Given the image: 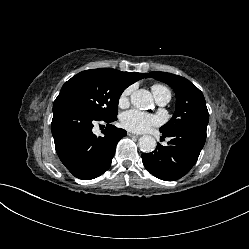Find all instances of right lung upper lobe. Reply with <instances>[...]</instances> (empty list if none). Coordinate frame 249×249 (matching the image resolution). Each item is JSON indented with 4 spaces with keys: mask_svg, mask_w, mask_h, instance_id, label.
I'll return each mask as SVG.
<instances>
[{
    "mask_svg": "<svg viewBox=\"0 0 249 249\" xmlns=\"http://www.w3.org/2000/svg\"><path fill=\"white\" fill-rule=\"evenodd\" d=\"M112 72L126 87L145 77L146 73L121 72L111 68H105Z\"/></svg>",
    "mask_w": 249,
    "mask_h": 249,
    "instance_id": "right-lung-upper-lobe-1",
    "label": "right lung upper lobe"
}]
</instances>
